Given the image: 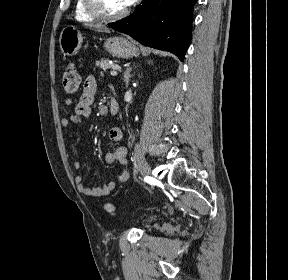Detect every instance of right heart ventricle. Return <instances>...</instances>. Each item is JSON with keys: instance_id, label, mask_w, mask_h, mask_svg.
Masks as SVG:
<instances>
[{"instance_id": "e07e8e85", "label": "right heart ventricle", "mask_w": 288, "mask_h": 280, "mask_svg": "<svg viewBox=\"0 0 288 280\" xmlns=\"http://www.w3.org/2000/svg\"><path fill=\"white\" fill-rule=\"evenodd\" d=\"M74 15L76 20L81 22H94L96 18L88 13L85 8L84 0H76L74 6Z\"/></svg>"}]
</instances>
